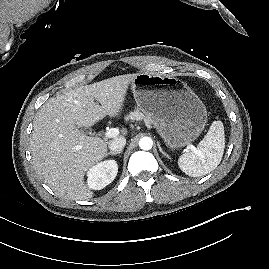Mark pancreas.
<instances>
[{
	"label": "pancreas",
	"mask_w": 269,
	"mask_h": 269,
	"mask_svg": "<svg viewBox=\"0 0 269 269\" xmlns=\"http://www.w3.org/2000/svg\"><path fill=\"white\" fill-rule=\"evenodd\" d=\"M145 115L140 112L138 109L135 110L134 112H131L127 117H126V120H142L144 119Z\"/></svg>",
	"instance_id": "cf45deb5"
}]
</instances>
